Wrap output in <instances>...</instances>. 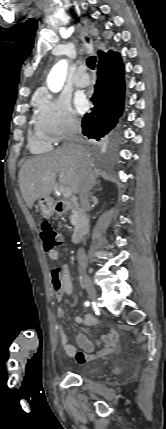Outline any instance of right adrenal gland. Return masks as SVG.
I'll return each mask as SVG.
<instances>
[{"instance_id":"obj_1","label":"right adrenal gland","mask_w":166,"mask_h":429,"mask_svg":"<svg viewBox=\"0 0 166 429\" xmlns=\"http://www.w3.org/2000/svg\"><path fill=\"white\" fill-rule=\"evenodd\" d=\"M100 184V181H97L96 179H93V182H92V184H91V189L93 188V187H95L96 185H99Z\"/></svg>"}]
</instances>
